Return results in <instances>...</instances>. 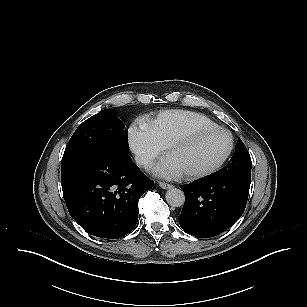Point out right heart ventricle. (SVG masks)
I'll return each mask as SVG.
<instances>
[{"label":"right heart ventricle","instance_id":"1","mask_svg":"<svg viewBox=\"0 0 307 307\" xmlns=\"http://www.w3.org/2000/svg\"><path fill=\"white\" fill-rule=\"evenodd\" d=\"M144 125L163 148L190 131L217 126L204 114L178 109L162 111L148 118Z\"/></svg>","mask_w":307,"mask_h":307}]
</instances>
